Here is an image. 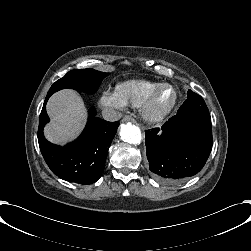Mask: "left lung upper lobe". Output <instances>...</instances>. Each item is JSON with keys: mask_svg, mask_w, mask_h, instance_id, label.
<instances>
[{"mask_svg": "<svg viewBox=\"0 0 251 251\" xmlns=\"http://www.w3.org/2000/svg\"><path fill=\"white\" fill-rule=\"evenodd\" d=\"M187 111H198L209 114L208 108L203 98L200 95L192 92L191 90H188L187 100L181 105L177 113Z\"/></svg>", "mask_w": 251, "mask_h": 251, "instance_id": "left-lung-upper-lobe-1", "label": "left lung upper lobe"}]
</instances>
